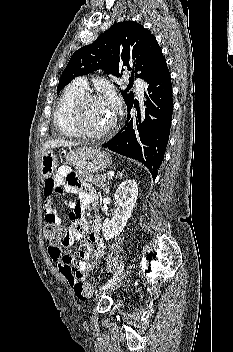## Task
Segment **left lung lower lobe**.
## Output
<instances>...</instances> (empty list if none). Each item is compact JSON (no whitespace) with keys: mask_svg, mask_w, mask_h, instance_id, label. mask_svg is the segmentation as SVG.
Listing matches in <instances>:
<instances>
[{"mask_svg":"<svg viewBox=\"0 0 233 352\" xmlns=\"http://www.w3.org/2000/svg\"><path fill=\"white\" fill-rule=\"evenodd\" d=\"M145 82L149 95L145 92L144 114L140 116L136 100H133L127 105L125 126L102 147L138 160L155 179L167 147L173 110L172 85L166 61ZM133 106L137 109L136 118L130 115Z\"/></svg>","mask_w":233,"mask_h":352,"instance_id":"left-lung-lower-lobe-1","label":"left lung lower lobe"}]
</instances>
